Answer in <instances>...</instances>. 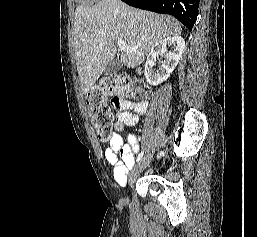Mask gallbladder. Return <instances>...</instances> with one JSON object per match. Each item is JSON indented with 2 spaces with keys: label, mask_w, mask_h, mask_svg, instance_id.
Segmentation results:
<instances>
[{
  "label": "gallbladder",
  "mask_w": 257,
  "mask_h": 237,
  "mask_svg": "<svg viewBox=\"0 0 257 237\" xmlns=\"http://www.w3.org/2000/svg\"><path fill=\"white\" fill-rule=\"evenodd\" d=\"M122 62L119 58L112 60L104 69V76L112 75L118 72L121 68Z\"/></svg>",
  "instance_id": "1"
}]
</instances>
